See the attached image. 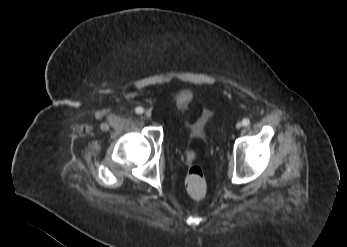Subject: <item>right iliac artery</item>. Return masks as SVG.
I'll list each match as a JSON object with an SVG mask.
<instances>
[{
    "label": "right iliac artery",
    "instance_id": "obj_1",
    "mask_svg": "<svg viewBox=\"0 0 347 247\" xmlns=\"http://www.w3.org/2000/svg\"><path fill=\"white\" fill-rule=\"evenodd\" d=\"M135 112H136L137 114H142V113L144 112V109H143L142 107H137V108L135 109Z\"/></svg>",
    "mask_w": 347,
    "mask_h": 247
}]
</instances>
